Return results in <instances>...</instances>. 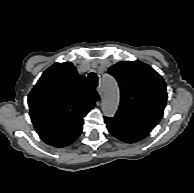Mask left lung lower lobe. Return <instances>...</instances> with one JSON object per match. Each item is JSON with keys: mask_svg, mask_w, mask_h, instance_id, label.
<instances>
[{"mask_svg": "<svg viewBox=\"0 0 194 193\" xmlns=\"http://www.w3.org/2000/svg\"><path fill=\"white\" fill-rule=\"evenodd\" d=\"M105 123L108 131L114 137L126 143H134L144 139L154 128L118 115L112 118L105 117Z\"/></svg>", "mask_w": 194, "mask_h": 193, "instance_id": "0a47b994", "label": "left lung lower lobe"}]
</instances>
